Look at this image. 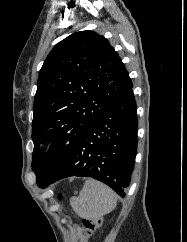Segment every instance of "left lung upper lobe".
I'll return each instance as SVG.
<instances>
[{"mask_svg":"<svg viewBox=\"0 0 187 242\" xmlns=\"http://www.w3.org/2000/svg\"><path fill=\"white\" fill-rule=\"evenodd\" d=\"M133 86L108 40L75 32L51 50L39 72L34 98L32 168L46 175L62 163L88 127ZM51 143L45 153L42 145Z\"/></svg>","mask_w":187,"mask_h":242,"instance_id":"1","label":"left lung upper lobe"}]
</instances>
